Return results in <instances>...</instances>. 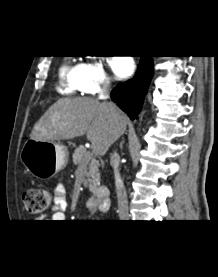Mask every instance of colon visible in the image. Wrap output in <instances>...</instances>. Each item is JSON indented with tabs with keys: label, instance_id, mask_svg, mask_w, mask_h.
<instances>
[{
	"label": "colon",
	"instance_id": "obj_1",
	"mask_svg": "<svg viewBox=\"0 0 218 277\" xmlns=\"http://www.w3.org/2000/svg\"><path fill=\"white\" fill-rule=\"evenodd\" d=\"M22 201L30 214H41L49 207L50 192L45 188H29L23 193Z\"/></svg>",
	"mask_w": 218,
	"mask_h": 277
}]
</instances>
